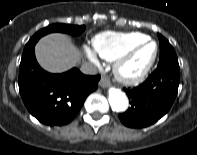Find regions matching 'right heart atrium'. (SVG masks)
<instances>
[{"instance_id": "1", "label": "right heart atrium", "mask_w": 197, "mask_h": 155, "mask_svg": "<svg viewBox=\"0 0 197 155\" xmlns=\"http://www.w3.org/2000/svg\"><path fill=\"white\" fill-rule=\"evenodd\" d=\"M84 50H85V53H86L87 57H88L90 60L96 62V55H95L94 51H92V50H91L90 48H88L87 46H84Z\"/></svg>"}]
</instances>
